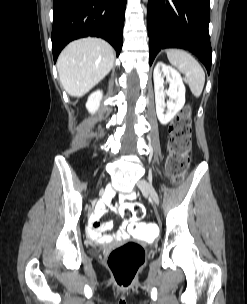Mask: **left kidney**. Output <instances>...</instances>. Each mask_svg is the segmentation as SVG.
<instances>
[{
	"instance_id": "5707ae66",
	"label": "left kidney",
	"mask_w": 247,
	"mask_h": 304,
	"mask_svg": "<svg viewBox=\"0 0 247 304\" xmlns=\"http://www.w3.org/2000/svg\"><path fill=\"white\" fill-rule=\"evenodd\" d=\"M162 73L170 83L168 90H164V76ZM153 77L157 117L161 124L166 125L185 104V86L181 75L161 61L156 64ZM165 94L170 98L167 104H165ZM165 107H167L166 114H164Z\"/></svg>"
}]
</instances>
